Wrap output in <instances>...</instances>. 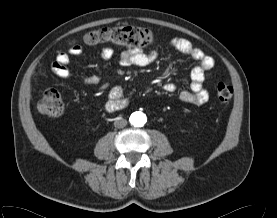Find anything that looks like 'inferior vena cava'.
Returning <instances> with one entry per match:
<instances>
[{
	"instance_id": "602c4592",
	"label": "inferior vena cava",
	"mask_w": 277,
	"mask_h": 218,
	"mask_svg": "<svg viewBox=\"0 0 277 218\" xmlns=\"http://www.w3.org/2000/svg\"><path fill=\"white\" fill-rule=\"evenodd\" d=\"M126 125H127V120H126V119H123V118L117 119V120H115V122H114V126H115L116 128H124Z\"/></svg>"
}]
</instances>
